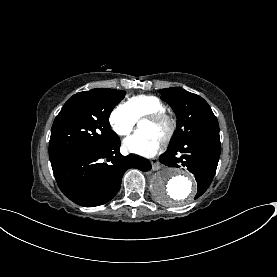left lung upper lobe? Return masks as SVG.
Instances as JSON below:
<instances>
[{"label":"left lung upper lobe","mask_w":277,"mask_h":277,"mask_svg":"<svg viewBox=\"0 0 277 277\" xmlns=\"http://www.w3.org/2000/svg\"><path fill=\"white\" fill-rule=\"evenodd\" d=\"M159 92L177 116V131L170 147L194 136L219 133L217 118L202 97L180 87L160 89Z\"/></svg>","instance_id":"obj_1"}]
</instances>
